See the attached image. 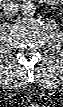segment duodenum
I'll use <instances>...</instances> for the list:
<instances>
[{"label":"duodenum","mask_w":63,"mask_h":107,"mask_svg":"<svg viewBox=\"0 0 63 107\" xmlns=\"http://www.w3.org/2000/svg\"><path fill=\"white\" fill-rule=\"evenodd\" d=\"M3 2L5 3V2H8V0H3Z\"/></svg>","instance_id":"1"}]
</instances>
